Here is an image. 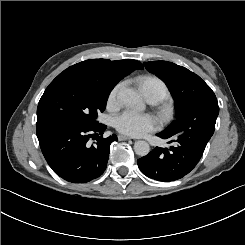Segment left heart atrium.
Instances as JSON below:
<instances>
[{
	"label": "left heart atrium",
	"mask_w": 245,
	"mask_h": 245,
	"mask_svg": "<svg viewBox=\"0 0 245 245\" xmlns=\"http://www.w3.org/2000/svg\"><path fill=\"white\" fill-rule=\"evenodd\" d=\"M115 124L121 133L129 136H143L156 129L158 125L155 117L132 110L118 115Z\"/></svg>",
	"instance_id": "39dd6f15"
}]
</instances>
